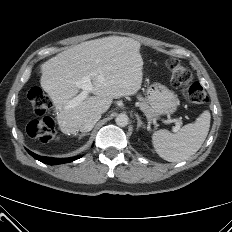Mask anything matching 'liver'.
Returning <instances> with one entry per match:
<instances>
[{
    "instance_id": "6515ba94",
    "label": "liver",
    "mask_w": 232,
    "mask_h": 232,
    "mask_svg": "<svg viewBox=\"0 0 232 232\" xmlns=\"http://www.w3.org/2000/svg\"><path fill=\"white\" fill-rule=\"evenodd\" d=\"M140 46L132 38L109 36L82 42L40 65V84L59 112L56 118L61 132L77 133L86 118L105 113L113 99L138 92L143 77ZM87 76L94 95L68 108L79 93L75 81Z\"/></svg>"
}]
</instances>
